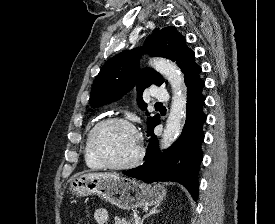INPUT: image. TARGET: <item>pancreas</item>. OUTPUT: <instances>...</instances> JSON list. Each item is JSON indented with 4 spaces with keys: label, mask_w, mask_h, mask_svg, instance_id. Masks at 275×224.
<instances>
[{
    "label": "pancreas",
    "mask_w": 275,
    "mask_h": 224,
    "mask_svg": "<svg viewBox=\"0 0 275 224\" xmlns=\"http://www.w3.org/2000/svg\"><path fill=\"white\" fill-rule=\"evenodd\" d=\"M114 221H115V224H133V219H126L118 216L114 218Z\"/></svg>",
    "instance_id": "pancreas-1"
}]
</instances>
